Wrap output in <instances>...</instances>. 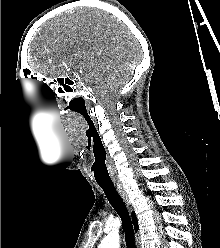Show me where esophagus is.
I'll return each mask as SVG.
<instances>
[{"label": "esophagus", "mask_w": 220, "mask_h": 248, "mask_svg": "<svg viewBox=\"0 0 220 248\" xmlns=\"http://www.w3.org/2000/svg\"><path fill=\"white\" fill-rule=\"evenodd\" d=\"M116 188H117L118 193L122 197V199L126 202V204H129V201H128L126 195H125V192H124L123 187L121 186V184H117Z\"/></svg>", "instance_id": "esophagus-1"}]
</instances>
